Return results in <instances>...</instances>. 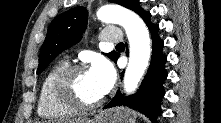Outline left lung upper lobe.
<instances>
[{
    "label": "left lung upper lobe",
    "mask_w": 221,
    "mask_h": 123,
    "mask_svg": "<svg viewBox=\"0 0 221 123\" xmlns=\"http://www.w3.org/2000/svg\"><path fill=\"white\" fill-rule=\"evenodd\" d=\"M138 13L139 0H110ZM88 12L84 7L72 8L57 16L50 24L42 45L37 74H40L64 49L79 42L86 28ZM115 60L117 52L105 53Z\"/></svg>",
    "instance_id": "left-lung-upper-lobe-1"
}]
</instances>
